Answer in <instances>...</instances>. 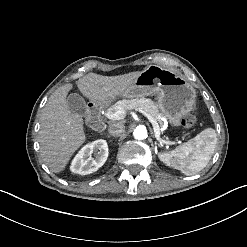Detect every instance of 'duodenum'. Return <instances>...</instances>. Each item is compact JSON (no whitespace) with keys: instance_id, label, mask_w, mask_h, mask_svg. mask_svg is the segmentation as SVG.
<instances>
[{"instance_id":"1","label":"duodenum","mask_w":247,"mask_h":247,"mask_svg":"<svg viewBox=\"0 0 247 247\" xmlns=\"http://www.w3.org/2000/svg\"><path fill=\"white\" fill-rule=\"evenodd\" d=\"M88 121L99 132L104 131L106 127L105 119L103 118L102 108L96 104L88 106Z\"/></svg>"}]
</instances>
